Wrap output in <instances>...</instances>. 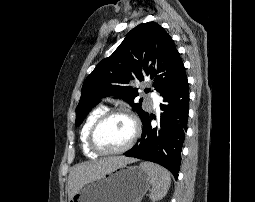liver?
<instances>
[{
  "instance_id": "liver-1",
  "label": "liver",
  "mask_w": 255,
  "mask_h": 202,
  "mask_svg": "<svg viewBox=\"0 0 255 202\" xmlns=\"http://www.w3.org/2000/svg\"><path fill=\"white\" fill-rule=\"evenodd\" d=\"M135 159L124 156L108 157L97 161L85 162L73 167L68 177V198L69 200L86 183L103 176L104 174L129 163Z\"/></svg>"
}]
</instances>
